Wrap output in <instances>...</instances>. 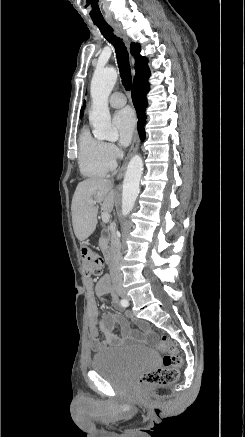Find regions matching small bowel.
<instances>
[{
	"label": "small bowel",
	"instance_id": "1",
	"mask_svg": "<svg viewBox=\"0 0 245 437\" xmlns=\"http://www.w3.org/2000/svg\"><path fill=\"white\" fill-rule=\"evenodd\" d=\"M85 285L88 289L95 285V292L98 296L107 295L111 290L110 280L105 276L97 282L88 278L85 280ZM116 324L120 326V335L116 331ZM101 333L104 335L103 340L100 339ZM89 334L91 348L96 352L108 347H118L152 339L151 333L145 328L143 332L133 330L130 327L128 315L108 312L99 316L96 307H92L89 313Z\"/></svg>",
	"mask_w": 245,
	"mask_h": 437
}]
</instances>
